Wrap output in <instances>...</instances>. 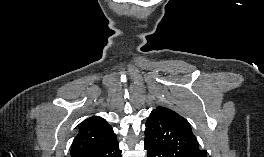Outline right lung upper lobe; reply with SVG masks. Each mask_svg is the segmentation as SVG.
<instances>
[{
    "instance_id": "1",
    "label": "right lung upper lobe",
    "mask_w": 264,
    "mask_h": 157,
    "mask_svg": "<svg viewBox=\"0 0 264 157\" xmlns=\"http://www.w3.org/2000/svg\"><path fill=\"white\" fill-rule=\"evenodd\" d=\"M116 139L112 127L105 119L92 116L84 120L79 127L70 151L71 157H84Z\"/></svg>"
}]
</instances>
